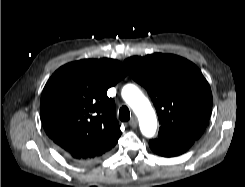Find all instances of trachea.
Instances as JSON below:
<instances>
[{
	"label": "trachea",
	"instance_id": "1",
	"mask_svg": "<svg viewBox=\"0 0 245 187\" xmlns=\"http://www.w3.org/2000/svg\"><path fill=\"white\" fill-rule=\"evenodd\" d=\"M119 118L121 121H128L130 119V111L127 106H122L120 108Z\"/></svg>",
	"mask_w": 245,
	"mask_h": 187
}]
</instances>
